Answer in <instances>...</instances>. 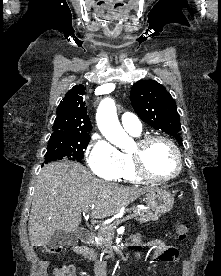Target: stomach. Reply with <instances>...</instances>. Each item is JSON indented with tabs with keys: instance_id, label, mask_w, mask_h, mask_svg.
Returning a JSON list of instances; mask_svg holds the SVG:
<instances>
[{
	"instance_id": "0dacf381",
	"label": "stomach",
	"mask_w": 221,
	"mask_h": 276,
	"mask_svg": "<svg viewBox=\"0 0 221 276\" xmlns=\"http://www.w3.org/2000/svg\"><path fill=\"white\" fill-rule=\"evenodd\" d=\"M146 201L151 210L157 214L170 211L174 204L173 195L162 189H155L148 192Z\"/></svg>"
}]
</instances>
